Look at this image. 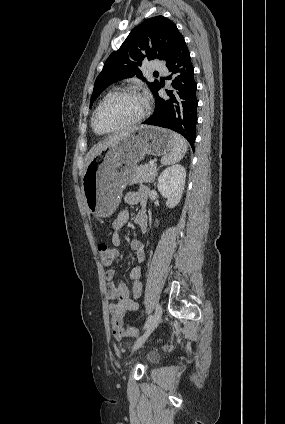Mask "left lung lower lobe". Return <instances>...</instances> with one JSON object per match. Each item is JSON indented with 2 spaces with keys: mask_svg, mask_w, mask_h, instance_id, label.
Wrapping results in <instances>:
<instances>
[{
  "mask_svg": "<svg viewBox=\"0 0 285 424\" xmlns=\"http://www.w3.org/2000/svg\"><path fill=\"white\" fill-rule=\"evenodd\" d=\"M166 66L172 72L171 90H166L169 97L158 95L160 84L153 92L156 98L155 112L143 124L155 125L176 131L183 135L194 150L196 139L197 83L194 80V68L190 53L183 36L179 37L175 47L166 61Z\"/></svg>",
  "mask_w": 285,
  "mask_h": 424,
  "instance_id": "left-lung-lower-lobe-1",
  "label": "left lung lower lobe"
}]
</instances>
